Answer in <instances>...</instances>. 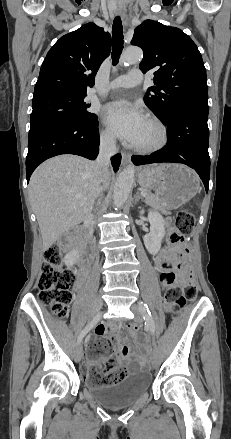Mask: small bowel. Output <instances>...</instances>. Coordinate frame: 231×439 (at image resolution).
I'll return each mask as SVG.
<instances>
[{
	"label": "small bowel",
	"instance_id": "1",
	"mask_svg": "<svg viewBox=\"0 0 231 439\" xmlns=\"http://www.w3.org/2000/svg\"><path fill=\"white\" fill-rule=\"evenodd\" d=\"M175 251L176 250L174 247H168L167 249H165L163 255L155 259V268L159 270L161 269L165 261H173L175 257ZM85 271L86 268H83L81 275H83ZM96 333L99 336H104L112 340L119 341V332L113 326H110L108 328L105 326H98L96 328ZM138 343L142 344V341L138 339ZM114 359L118 364L126 366L130 371H136L139 368V363L138 361H136L134 357V351L126 345H122L120 343L116 345V352ZM108 361H109L108 358L102 357L101 359H99L97 362L94 363L87 361L86 366L89 369H97V368L100 369L103 366H105Z\"/></svg>",
	"mask_w": 231,
	"mask_h": 439
}]
</instances>
